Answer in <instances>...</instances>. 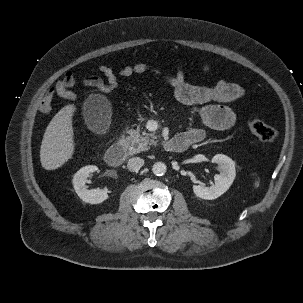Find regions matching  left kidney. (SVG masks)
I'll list each match as a JSON object with an SVG mask.
<instances>
[{
	"instance_id": "1",
	"label": "left kidney",
	"mask_w": 303,
	"mask_h": 303,
	"mask_svg": "<svg viewBox=\"0 0 303 303\" xmlns=\"http://www.w3.org/2000/svg\"><path fill=\"white\" fill-rule=\"evenodd\" d=\"M212 163L218 164L220 174L214 176L215 183L210 187L193 185V192L201 199L213 200L223 195L232 185L235 176V162L226 155L216 154Z\"/></svg>"
}]
</instances>
